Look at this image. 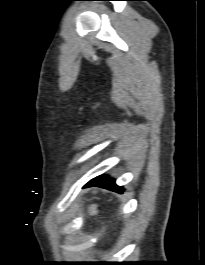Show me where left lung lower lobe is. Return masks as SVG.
<instances>
[{
    "mask_svg": "<svg viewBox=\"0 0 205 265\" xmlns=\"http://www.w3.org/2000/svg\"><path fill=\"white\" fill-rule=\"evenodd\" d=\"M98 186L118 193L123 192V187L115 184V180L106 175H100L90 180L84 187Z\"/></svg>",
    "mask_w": 205,
    "mask_h": 265,
    "instance_id": "left-lung-lower-lobe-1",
    "label": "left lung lower lobe"
}]
</instances>
